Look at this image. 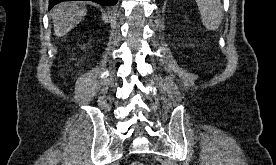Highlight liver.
<instances>
[{"label": "liver", "mask_w": 276, "mask_h": 165, "mask_svg": "<svg viewBox=\"0 0 276 165\" xmlns=\"http://www.w3.org/2000/svg\"><path fill=\"white\" fill-rule=\"evenodd\" d=\"M87 10L74 2H62L51 11L56 37H63L86 16Z\"/></svg>", "instance_id": "obj_1"}]
</instances>
